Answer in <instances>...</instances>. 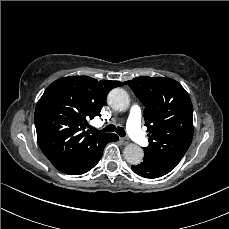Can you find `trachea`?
<instances>
[{
  "instance_id": "obj_1",
  "label": "trachea",
  "mask_w": 229,
  "mask_h": 229,
  "mask_svg": "<svg viewBox=\"0 0 229 229\" xmlns=\"http://www.w3.org/2000/svg\"><path fill=\"white\" fill-rule=\"evenodd\" d=\"M102 131L103 132H114V131H116V133L121 137H125V135H126V132L122 127L115 126L114 124L107 125Z\"/></svg>"
}]
</instances>
